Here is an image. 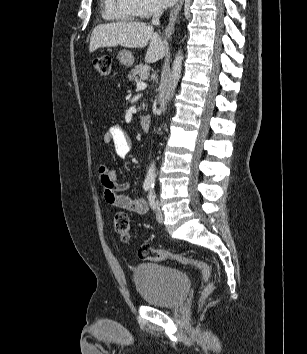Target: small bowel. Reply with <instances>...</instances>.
Returning <instances> with one entry per match:
<instances>
[{
  "label": "small bowel",
  "instance_id": "obj_1",
  "mask_svg": "<svg viewBox=\"0 0 307 354\" xmlns=\"http://www.w3.org/2000/svg\"><path fill=\"white\" fill-rule=\"evenodd\" d=\"M103 140L112 145L118 157H125L132 148V140L126 129L120 124L111 125L104 133ZM99 174L103 187L104 198L112 206L125 209L138 214L147 212L148 207L144 200L124 193L129 185L118 182L116 170L100 166Z\"/></svg>",
  "mask_w": 307,
  "mask_h": 354
}]
</instances>
